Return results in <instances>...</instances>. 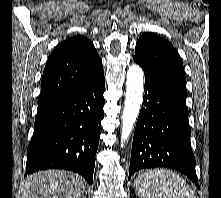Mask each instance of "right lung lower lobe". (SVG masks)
Wrapping results in <instances>:
<instances>
[{
	"mask_svg": "<svg viewBox=\"0 0 221 198\" xmlns=\"http://www.w3.org/2000/svg\"><path fill=\"white\" fill-rule=\"evenodd\" d=\"M104 74L38 109L27 150L26 174L46 169L79 173L92 184L100 121L104 118Z\"/></svg>",
	"mask_w": 221,
	"mask_h": 198,
	"instance_id": "98d812e1",
	"label": "right lung lower lobe"
}]
</instances>
